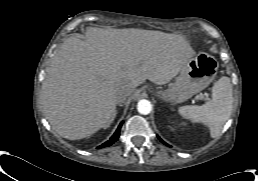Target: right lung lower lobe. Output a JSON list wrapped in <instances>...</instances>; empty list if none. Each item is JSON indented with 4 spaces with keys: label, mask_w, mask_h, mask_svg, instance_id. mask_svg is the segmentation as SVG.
Returning <instances> with one entry per match:
<instances>
[{
    "label": "right lung lower lobe",
    "mask_w": 258,
    "mask_h": 181,
    "mask_svg": "<svg viewBox=\"0 0 258 181\" xmlns=\"http://www.w3.org/2000/svg\"><path fill=\"white\" fill-rule=\"evenodd\" d=\"M122 123H120V125L118 126L116 132L114 133V135L104 144L100 145L98 148H102V147H108L110 145H112L114 142L117 141L118 137H119V133H120V129H121Z\"/></svg>",
    "instance_id": "right-lung-lower-lobe-1"
}]
</instances>
